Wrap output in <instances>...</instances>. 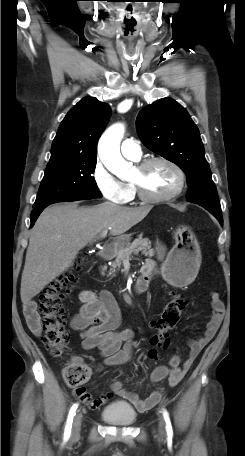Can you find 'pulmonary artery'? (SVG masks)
<instances>
[{"instance_id": "1", "label": "pulmonary artery", "mask_w": 245, "mask_h": 456, "mask_svg": "<svg viewBox=\"0 0 245 456\" xmlns=\"http://www.w3.org/2000/svg\"><path fill=\"white\" fill-rule=\"evenodd\" d=\"M121 152L125 157L133 160H139L142 155L139 143L133 139H126L122 142Z\"/></svg>"}]
</instances>
